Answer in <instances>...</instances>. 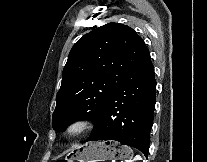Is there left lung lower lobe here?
Here are the masks:
<instances>
[{
    "label": "left lung lower lobe",
    "instance_id": "obj_1",
    "mask_svg": "<svg viewBox=\"0 0 207 162\" xmlns=\"http://www.w3.org/2000/svg\"><path fill=\"white\" fill-rule=\"evenodd\" d=\"M154 67L148 53L116 89L85 141L115 140L148 156L156 103Z\"/></svg>",
    "mask_w": 207,
    "mask_h": 162
}]
</instances>
